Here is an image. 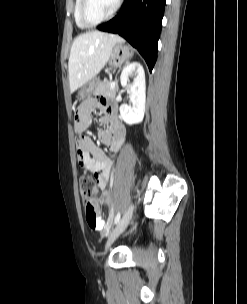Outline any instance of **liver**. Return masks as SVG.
Masks as SVG:
<instances>
[{
  "label": "liver",
  "mask_w": 247,
  "mask_h": 304,
  "mask_svg": "<svg viewBox=\"0 0 247 304\" xmlns=\"http://www.w3.org/2000/svg\"><path fill=\"white\" fill-rule=\"evenodd\" d=\"M123 42L117 35L92 31L77 36L68 62L70 92L94 78L108 62L115 44Z\"/></svg>",
  "instance_id": "6515ba94"
}]
</instances>
